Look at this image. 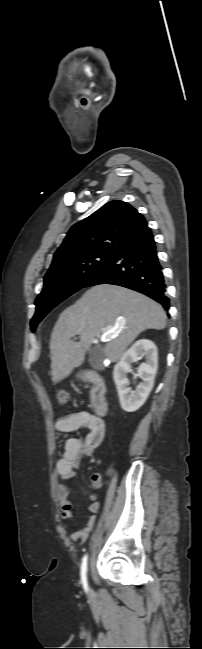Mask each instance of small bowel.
Here are the masks:
<instances>
[{"label": "small bowel", "instance_id": "c3829d8e", "mask_svg": "<svg viewBox=\"0 0 202 649\" xmlns=\"http://www.w3.org/2000/svg\"><path fill=\"white\" fill-rule=\"evenodd\" d=\"M55 428L60 432H74L79 429H87L83 438H70L66 441L62 456L56 464L59 482L57 484V495L60 500L61 517L64 521L73 519L72 503L68 499L69 488L64 481L75 476L77 465L82 458L90 457L95 449L102 443L106 433L105 422L102 418L89 411H81L60 417ZM91 486L97 491L102 486V475L95 472L91 475ZM90 503L87 507V527L75 528L70 534V540L84 543L91 531L95 515L100 509V501L95 493L89 496ZM67 528V526L65 525Z\"/></svg>", "mask_w": 202, "mask_h": 649}]
</instances>
